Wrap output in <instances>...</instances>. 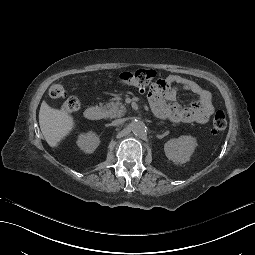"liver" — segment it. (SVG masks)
I'll use <instances>...</instances> for the list:
<instances>
[{"label": "liver", "mask_w": 255, "mask_h": 255, "mask_svg": "<svg viewBox=\"0 0 255 255\" xmlns=\"http://www.w3.org/2000/svg\"><path fill=\"white\" fill-rule=\"evenodd\" d=\"M39 125L48 145L57 151L63 140L72 133L76 123L71 114L52 108L43 101L39 111Z\"/></svg>", "instance_id": "6515ba94"}]
</instances>
